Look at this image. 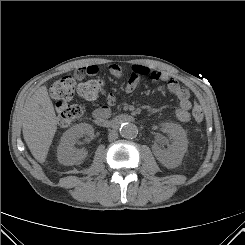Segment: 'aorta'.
Instances as JSON below:
<instances>
[{"instance_id":"1","label":"aorta","mask_w":245,"mask_h":245,"mask_svg":"<svg viewBox=\"0 0 245 245\" xmlns=\"http://www.w3.org/2000/svg\"><path fill=\"white\" fill-rule=\"evenodd\" d=\"M120 134L124 138H134L138 134L137 127L132 123H124L120 127Z\"/></svg>"}]
</instances>
